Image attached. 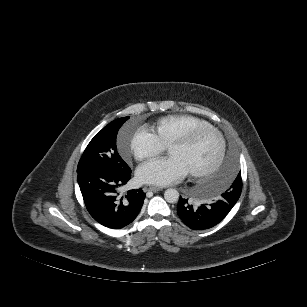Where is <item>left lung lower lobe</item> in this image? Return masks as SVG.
<instances>
[{"instance_id":"left-lung-lower-lobe-1","label":"left lung lower lobe","mask_w":307,"mask_h":307,"mask_svg":"<svg viewBox=\"0 0 307 307\" xmlns=\"http://www.w3.org/2000/svg\"><path fill=\"white\" fill-rule=\"evenodd\" d=\"M237 201L225 193L212 204H201L195 207L180 196L177 213L180 219L193 230L209 229L220 223L230 212Z\"/></svg>"}]
</instances>
